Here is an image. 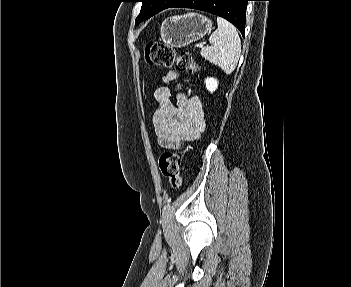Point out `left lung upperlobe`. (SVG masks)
Instances as JSON below:
<instances>
[{"label": "left lung upper lobe", "instance_id": "obj_1", "mask_svg": "<svg viewBox=\"0 0 351 287\" xmlns=\"http://www.w3.org/2000/svg\"><path fill=\"white\" fill-rule=\"evenodd\" d=\"M141 1L142 7L140 14L136 18L135 24H139L140 22L149 19L155 14L161 12L169 8L172 4H174L177 0H139Z\"/></svg>", "mask_w": 351, "mask_h": 287}]
</instances>
